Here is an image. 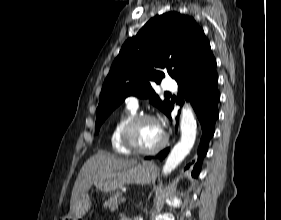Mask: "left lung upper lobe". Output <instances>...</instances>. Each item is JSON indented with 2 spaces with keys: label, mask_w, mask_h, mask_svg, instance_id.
<instances>
[{
  "label": "left lung upper lobe",
  "mask_w": 281,
  "mask_h": 220,
  "mask_svg": "<svg viewBox=\"0 0 281 220\" xmlns=\"http://www.w3.org/2000/svg\"><path fill=\"white\" fill-rule=\"evenodd\" d=\"M210 47L204 31L187 15L168 12L150 19L122 46L106 77L96 110V133L126 97L149 98L166 115L171 107L161 101L151 83L166 75L178 81L194 57Z\"/></svg>",
  "instance_id": "1"
}]
</instances>
